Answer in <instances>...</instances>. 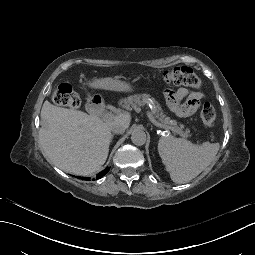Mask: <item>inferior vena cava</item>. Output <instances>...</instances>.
<instances>
[{"label": "inferior vena cava", "mask_w": 255, "mask_h": 255, "mask_svg": "<svg viewBox=\"0 0 255 255\" xmlns=\"http://www.w3.org/2000/svg\"><path fill=\"white\" fill-rule=\"evenodd\" d=\"M110 130L116 134H123L126 130V125L123 122H116L110 126Z\"/></svg>", "instance_id": "1"}]
</instances>
